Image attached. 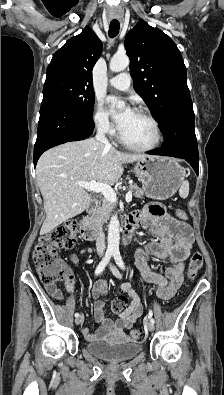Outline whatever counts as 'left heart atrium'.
<instances>
[{
  "instance_id": "left-heart-atrium-1",
  "label": "left heart atrium",
  "mask_w": 224,
  "mask_h": 395,
  "mask_svg": "<svg viewBox=\"0 0 224 395\" xmlns=\"http://www.w3.org/2000/svg\"><path fill=\"white\" fill-rule=\"evenodd\" d=\"M110 110L112 111L115 106L119 103V99L116 97H108L106 100ZM134 113V110L130 107L127 106L125 109L119 113H114V119L116 121L118 129H122L127 120L131 117V115Z\"/></svg>"
}]
</instances>
